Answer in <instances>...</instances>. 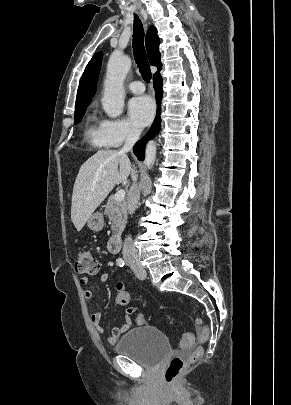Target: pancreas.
<instances>
[{
	"label": "pancreas",
	"instance_id": "1",
	"mask_svg": "<svg viewBox=\"0 0 291 405\" xmlns=\"http://www.w3.org/2000/svg\"><path fill=\"white\" fill-rule=\"evenodd\" d=\"M104 214L112 222L111 230L113 235H120L127 220L125 201H115L114 197H109Z\"/></svg>",
	"mask_w": 291,
	"mask_h": 405
}]
</instances>
